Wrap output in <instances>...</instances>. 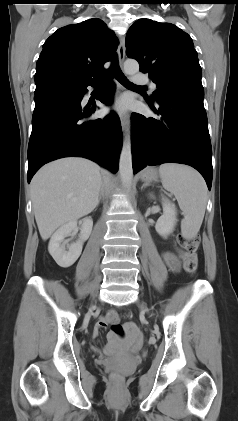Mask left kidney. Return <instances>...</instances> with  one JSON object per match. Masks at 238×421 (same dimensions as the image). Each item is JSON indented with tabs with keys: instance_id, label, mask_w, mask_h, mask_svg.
I'll list each match as a JSON object with an SVG mask.
<instances>
[{
	"instance_id": "5707ae66",
	"label": "left kidney",
	"mask_w": 238,
	"mask_h": 421,
	"mask_svg": "<svg viewBox=\"0 0 238 421\" xmlns=\"http://www.w3.org/2000/svg\"><path fill=\"white\" fill-rule=\"evenodd\" d=\"M162 206L163 214L157 220L155 229L160 236L167 238L174 231L177 223V212L175 207L169 202L163 201Z\"/></svg>"
}]
</instances>
